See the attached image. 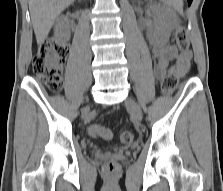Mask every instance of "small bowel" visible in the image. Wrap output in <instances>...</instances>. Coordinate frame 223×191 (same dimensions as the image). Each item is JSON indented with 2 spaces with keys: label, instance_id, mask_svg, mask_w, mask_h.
Here are the masks:
<instances>
[{
  "label": "small bowel",
  "instance_id": "obj_1",
  "mask_svg": "<svg viewBox=\"0 0 223 191\" xmlns=\"http://www.w3.org/2000/svg\"><path fill=\"white\" fill-rule=\"evenodd\" d=\"M152 52L155 58V73L158 77L164 75L169 62L176 61L178 74L184 75L188 69L191 60V53H181L175 46L169 44H152Z\"/></svg>",
  "mask_w": 223,
  "mask_h": 191
}]
</instances>
